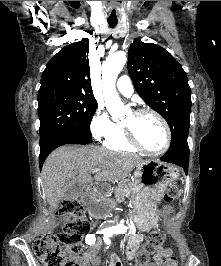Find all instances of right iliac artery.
Wrapping results in <instances>:
<instances>
[{
	"instance_id": "82829eb1",
	"label": "right iliac artery",
	"mask_w": 221,
	"mask_h": 266,
	"mask_svg": "<svg viewBox=\"0 0 221 266\" xmlns=\"http://www.w3.org/2000/svg\"><path fill=\"white\" fill-rule=\"evenodd\" d=\"M105 232H107V231L101 230L97 234H104ZM85 240H86V243L89 244V245L94 244L95 241H96L95 234L87 235L86 238H85Z\"/></svg>"
}]
</instances>
